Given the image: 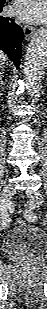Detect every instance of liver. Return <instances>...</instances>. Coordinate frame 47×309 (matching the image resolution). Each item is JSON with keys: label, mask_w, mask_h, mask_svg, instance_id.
<instances>
[{"label": "liver", "mask_w": 47, "mask_h": 309, "mask_svg": "<svg viewBox=\"0 0 47 309\" xmlns=\"http://www.w3.org/2000/svg\"><path fill=\"white\" fill-rule=\"evenodd\" d=\"M7 61L6 55L1 51L0 52V66L2 67Z\"/></svg>", "instance_id": "liver-1"}]
</instances>
